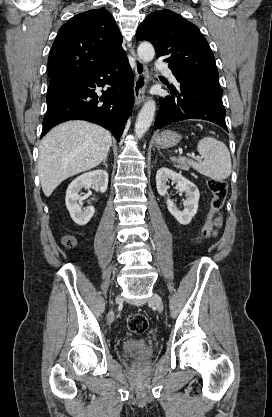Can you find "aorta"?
Wrapping results in <instances>:
<instances>
[{"label": "aorta", "instance_id": "1", "mask_svg": "<svg viewBox=\"0 0 272 417\" xmlns=\"http://www.w3.org/2000/svg\"><path fill=\"white\" fill-rule=\"evenodd\" d=\"M140 59L144 62H149L154 58L155 50L151 43L142 42L137 49ZM156 111L155 102L153 100L147 101L142 107L135 123V134L137 137H142L152 124Z\"/></svg>", "mask_w": 272, "mask_h": 417}]
</instances>
